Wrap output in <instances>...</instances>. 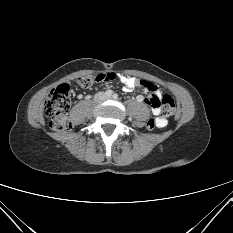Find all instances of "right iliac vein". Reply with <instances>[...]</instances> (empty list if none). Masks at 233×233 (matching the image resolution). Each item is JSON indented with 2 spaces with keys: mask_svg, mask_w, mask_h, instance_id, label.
<instances>
[{
  "mask_svg": "<svg viewBox=\"0 0 233 233\" xmlns=\"http://www.w3.org/2000/svg\"><path fill=\"white\" fill-rule=\"evenodd\" d=\"M101 98H102V95H101V94L98 95V96H97V101H98V100H101Z\"/></svg>",
  "mask_w": 233,
  "mask_h": 233,
  "instance_id": "right-iliac-vein-1",
  "label": "right iliac vein"
}]
</instances>
